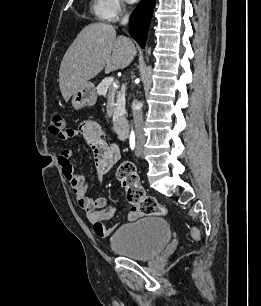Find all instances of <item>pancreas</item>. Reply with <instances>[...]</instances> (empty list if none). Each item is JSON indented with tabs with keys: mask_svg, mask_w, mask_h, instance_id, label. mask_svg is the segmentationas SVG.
Segmentation results:
<instances>
[{
	"mask_svg": "<svg viewBox=\"0 0 261 306\" xmlns=\"http://www.w3.org/2000/svg\"><path fill=\"white\" fill-rule=\"evenodd\" d=\"M113 77H107L103 79L97 86V93L105 96L108 91V98L112 99L117 91V88L113 87ZM117 107L114 110V115L120 117L125 114V91L122 89L117 91Z\"/></svg>",
	"mask_w": 261,
	"mask_h": 306,
	"instance_id": "obj_1",
	"label": "pancreas"
}]
</instances>
